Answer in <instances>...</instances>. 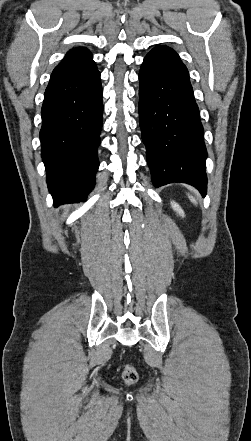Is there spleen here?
Wrapping results in <instances>:
<instances>
[{
	"label": "spleen",
	"mask_w": 251,
	"mask_h": 441,
	"mask_svg": "<svg viewBox=\"0 0 251 441\" xmlns=\"http://www.w3.org/2000/svg\"><path fill=\"white\" fill-rule=\"evenodd\" d=\"M188 197H189V199H190L194 204H197V201H196V199H195L193 196L188 195Z\"/></svg>",
	"instance_id": "spleen-1"
}]
</instances>
